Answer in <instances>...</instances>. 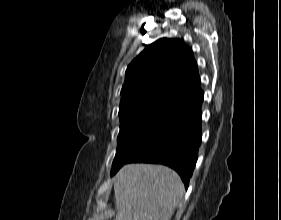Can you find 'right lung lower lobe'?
<instances>
[{
    "label": "right lung lower lobe",
    "instance_id": "98d812e1",
    "mask_svg": "<svg viewBox=\"0 0 281 220\" xmlns=\"http://www.w3.org/2000/svg\"><path fill=\"white\" fill-rule=\"evenodd\" d=\"M202 101L203 94L180 108L126 163L147 162L167 165L178 172L188 187L202 137Z\"/></svg>",
    "mask_w": 281,
    "mask_h": 220
}]
</instances>
